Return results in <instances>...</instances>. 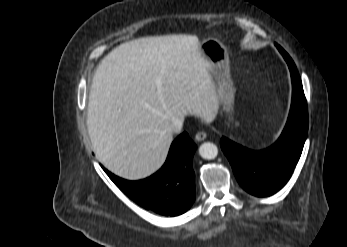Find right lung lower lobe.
Instances as JSON below:
<instances>
[{
	"label": "right lung lower lobe",
	"mask_w": 347,
	"mask_h": 247,
	"mask_svg": "<svg viewBox=\"0 0 347 247\" xmlns=\"http://www.w3.org/2000/svg\"><path fill=\"white\" fill-rule=\"evenodd\" d=\"M196 145L186 132L172 143L165 164L152 176L128 181L103 170L129 198L147 210L165 216L186 212L195 200V174L192 161Z\"/></svg>",
	"instance_id": "obj_1"
}]
</instances>
